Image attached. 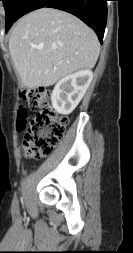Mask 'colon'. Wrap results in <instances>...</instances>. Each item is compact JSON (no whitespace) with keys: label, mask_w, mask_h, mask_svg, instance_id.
<instances>
[{"label":"colon","mask_w":133,"mask_h":253,"mask_svg":"<svg viewBox=\"0 0 133 253\" xmlns=\"http://www.w3.org/2000/svg\"><path fill=\"white\" fill-rule=\"evenodd\" d=\"M21 98L36 115L28 120V111L20 108L17 127L25 130L24 154L26 157H46L65 133L67 117L57 114L50 106V92L42 87L27 88Z\"/></svg>","instance_id":"1"}]
</instances>
